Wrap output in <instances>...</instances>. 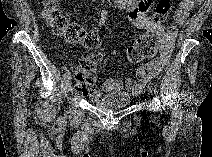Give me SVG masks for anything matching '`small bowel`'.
I'll return each mask as SVG.
<instances>
[{
    "label": "small bowel",
    "mask_w": 212,
    "mask_h": 157,
    "mask_svg": "<svg viewBox=\"0 0 212 157\" xmlns=\"http://www.w3.org/2000/svg\"><path fill=\"white\" fill-rule=\"evenodd\" d=\"M151 0H118L117 6L126 11L129 16L130 23L137 29L148 30L154 26L152 19L149 16L151 9ZM195 1L182 0L178 9L174 13V25L167 28L166 31L162 27L160 30L164 32V39L161 45V52L157 59L148 62L137 70V77H126L125 79H107L102 87L103 92H120L128 91L135 95L141 93L146 85L154 80L158 74L167 66L170 61L174 41L177 37V26L185 23L189 13L193 9ZM169 38H167V36ZM101 92H96L91 95L95 99L99 97Z\"/></svg>",
    "instance_id": "small-bowel-1"
}]
</instances>
